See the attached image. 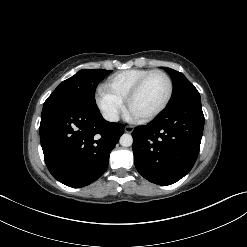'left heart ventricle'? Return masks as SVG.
Returning <instances> with one entry per match:
<instances>
[{
  "instance_id": "1",
  "label": "left heart ventricle",
  "mask_w": 247,
  "mask_h": 247,
  "mask_svg": "<svg viewBox=\"0 0 247 247\" xmlns=\"http://www.w3.org/2000/svg\"><path fill=\"white\" fill-rule=\"evenodd\" d=\"M168 93V82L163 75H152L132 101L130 112L136 117L146 116L164 102Z\"/></svg>"
}]
</instances>
